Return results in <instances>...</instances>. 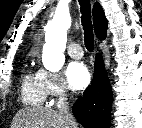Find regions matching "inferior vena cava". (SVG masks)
<instances>
[{
	"label": "inferior vena cava",
	"mask_w": 142,
	"mask_h": 128,
	"mask_svg": "<svg viewBox=\"0 0 142 128\" xmlns=\"http://www.w3.org/2000/svg\"><path fill=\"white\" fill-rule=\"evenodd\" d=\"M60 113L64 116L65 120L68 122L70 127L77 128V124L75 122L74 116L69 112L68 102H67V96L63 95L60 99Z\"/></svg>",
	"instance_id": "obj_1"
}]
</instances>
